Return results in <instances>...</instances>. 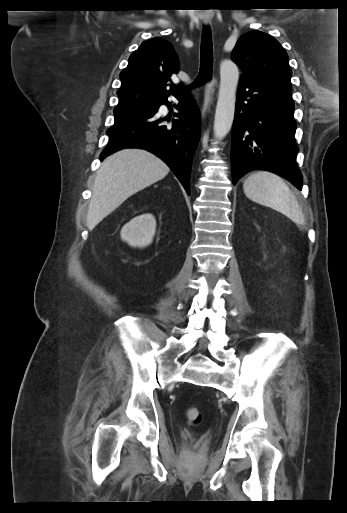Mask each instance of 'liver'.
Wrapping results in <instances>:
<instances>
[{"mask_svg":"<svg viewBox=\"0 0 347 513\" xmlns=\"http://www.w3.org/2000/svg\"><path fill=\"white\" fill-rule=\"evenodd\" d=\"M169 167L154 154L136 148L107 157L97 171L87 214L92 230L127 198L163 179Z\"/></svg>","mask_w":347,"mask_h":513,"instance_id":"obj_1","label":"liver"}]
</instances>
